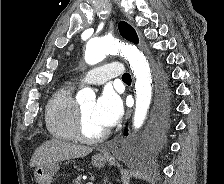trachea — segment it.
Here are the masks:
<instances>
[{
	"instance_id": "obj_1",
	"label": "trachea",
	"mask_w": 224,
	"mask_h": 184,
	"mask_svg": "<svg viewBox=\"0 0 224 184\" xmlns=\"http://www.w3.org/2000/svg\"><path fill=\"white\" fill-rule=\"evenodd\" d=\"M122 80L123 81H131V75L129 73H125L123 76H122Z\"/></svg>"
}]
</instances>
